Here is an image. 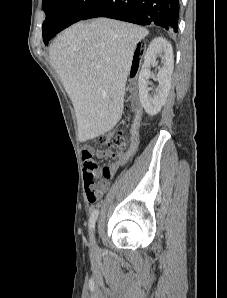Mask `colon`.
<instances>
[{
    "label": "colon",
    "mask_w": 227,
    "mask_h": 298,
    "mask_svg": "<svg viewBox=\"0 0 227 298\" xmlns=\"http://www.w3.org/2000/svg\"><path fill=\"white\" fill-rule=\"evenodd\" d=\"M126 107L128 112H132L135 109V106L132 103H128ZM100 143L106 148L105 150L110 152L123 151L126 148L125 134L120 129H113L100 138ZM86 192L88 201L91 203L96 202L100 198L96 188L88 189Z\"/></svg>",
    "instance_id": "5ec220e1"
}]
</instances>
